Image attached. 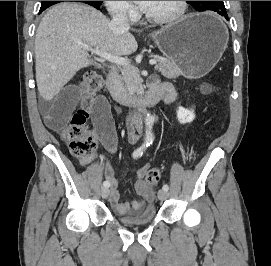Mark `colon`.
Segmentation results:
<instances>
[{
    "label": "colon",
    "instance_id": "5ec220e1",
    "mask_svg": "<svg viewBox=\"0 0 271 266\" xmlns=\"http://www.w3.org/2000/svg\"><path fill=\"white\" fill-rule=\"evenodd\" d=\"M81 90L84 98L79 109L72 116L65 131V138L69 142L71 153L82 157L91 153L96 147V138L87 129L86 122L95 102V98L103 89V79L95 70L85 73L81 81ZM160 180V172L156 168L147 171L143 181L144 186L151 188Z\"/></svg>",
    "mask_w": 271,
    "mask_h": 266
}]
</instances>
